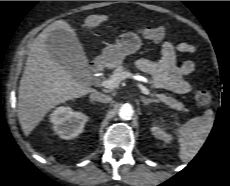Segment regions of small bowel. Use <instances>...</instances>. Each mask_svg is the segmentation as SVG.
Returning <instances> with one entry per match:
<instances>
[{"instance_id": "c3829d8e", "label": "small bowel", "mask_w": 230, "mask_h": 186, "mask_svg": "<svg viewBox=\"0 0 230 186\" xmlns=\"http://www.w3.org/2000/svg\"><path fill=\"white\" fill-rule=\"evenodd\" d=\"M194 51L195 47L186 42L176 45L164 42L161 46V59L159 61L141 59L137 61L136 66L143 73L151 75L154 87H162L178 94H186L191 91L192 86L185 77L193 73L195 63L192 60H186L177 66L176 53H193Z\"/></svg>"}]
</instances>
